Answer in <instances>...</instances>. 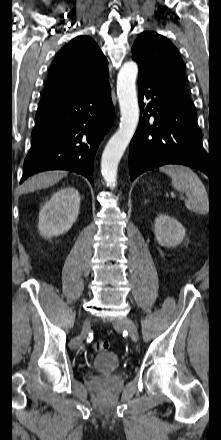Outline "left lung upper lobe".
<instances>
[{
	"label": "left lung upper lobe",
	"instance_id": "obj_1",
	"mask_svg": "<svg viewBox=\"0 0 221 440\" xmlns=\"http://www.w3.org/2000/svg\"><path fill=\"white\" fill-rule=\"evenodd\" d=\"M132 59L138 63L139 72L188 96L182 59L176 47L165 37L143 32L134 42Z\"/></svg>",
	"mask_w": 221,
	"mask_h": 440
}]
</instances>
